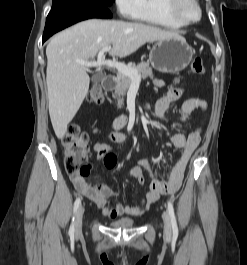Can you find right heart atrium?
<instances>
[{"instance_id": "1", "label": "right heart atrium", "mask_w": 247, "mask_h": 265, "mask_svg": "<svg viewBox=\"0 0 247 265\" xmlns=\"http://www.w3.org/2000/svg\"><path fill=\"white\" fill-rule=\"evenodd\" d=\"M120 14L125 18H134L139 9V0H115Z\"/></svg>"}]
</instances>
